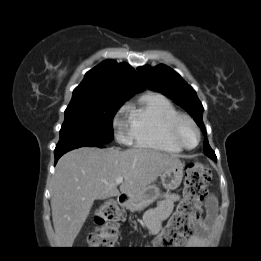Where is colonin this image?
<instances>
[{
  "label": "colon",
  "mask_w": 261,
  "mask_h": 261,
  "mask_svg": "<svg viewBox=\"0 0 261 261\" xmlns=\"http://www.w3.org/2000/svg\"><path fill=\"white\" fill-rule=\"evenodd\" d=\"M211 169L201 162H192L185 169L183 198L161 232L154 238L156 248H172L183 243L191 232L193 222L201 215L200 203L207 194ZM125 214L111 199L105 200L95 214V228L88 236L93 248H112L116 245L119 227Z\"/></svg>",
  "instance_id": "obj_1"
}]
</instances>
